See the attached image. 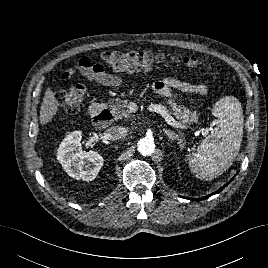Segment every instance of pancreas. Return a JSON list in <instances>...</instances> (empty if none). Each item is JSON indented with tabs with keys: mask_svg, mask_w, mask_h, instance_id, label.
<instances>
[{
	"mask_svg": "<svg viewBox=\"0 0 268 268\" xmlns=\"http://www.w3.org/2000/svg\"><path fill=\"white\" fill-rule=\"evenodd\" d=\"M168 104L171 113L183 124H191L194 122H198L199 114H197L196 112H191L187 107L177 105L174 100H170ZM109 107L116 119H129L132 117V114L128 109V100L126 99H118L115 102H111Z\"/></svg>",
	"mask_w": 268,
	"mask_h": 268,
	"instance_id": "cf45deb5",
	"label": "pancreas"
}]
</instances>
